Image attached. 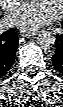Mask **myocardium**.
Here are the masks:
<instances>
[{"label":"myocardium","instance_id":"myocardium-1","mask_svg":"<svg viewBox=\"0 0 63 107\" xmlns=\"http://www.w3.org/2000/svg\"><path fill=\"white\" fill-rule=\"evenodd\" d=\"M61 11H62V1L60 0V1H59V5H58V8H57L56 11L53 12V15H54V16H57V15H59V14L61 13Z\"/></svg>","mask_w":63,"mask_h":107}]
</instances>
